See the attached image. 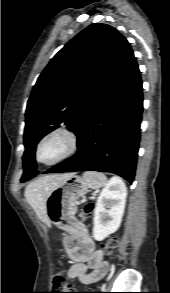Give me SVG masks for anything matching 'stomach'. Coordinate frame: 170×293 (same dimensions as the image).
<instances>
[{"label": "stomach", "mask_w": 170, "mask_h": 293, "mask_svg": "<svg viewBox=\"0 0 170 293\" xmlns=\"http://www.w3.org/2000/svg\"><path fill=\"white\" fill-rule=\"evenodd\" d=\"M89 191L88 185L81 176L69 174L52 188L46 201V211L51 223L69 232H75L73 226L77 213V202Z\"/></svg>", "instance_id": "stomach-1"}]
</instances>
